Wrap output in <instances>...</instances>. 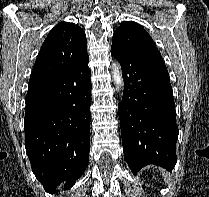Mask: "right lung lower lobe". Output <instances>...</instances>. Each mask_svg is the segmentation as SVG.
<instances>
[{"instance_id": "obj_1", "label": "right lung lower lobe", "mask_w": 209, "mask_h": 197, "mask_svg": "<svg viewBox=\"0 0 209 197\" xmlns=\"http://www.w3.org/2000/svg\"><path fill=\"white\" fill-rule=\"evenodd\" d=\"M89 56L73 67L29 85L25 148L32 171L46 191L66 181L70 188L87 167L90 150Z\"/></svg>"}]
</instances>
